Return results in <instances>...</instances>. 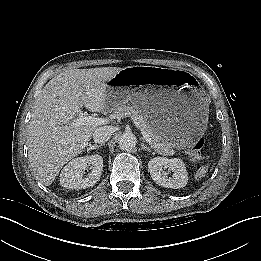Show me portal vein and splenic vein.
<instances>
[{"instance_id":"portal-vein-and-splenic-vein-1","label":"portal vein and splenic vein","mask_w":261,"mask_h":261,"mask_svg":"<svg viewBox=\"0 0 261 261\" xmlns=\"http://www.w3.org/2000/svg\"><path fill=\"white\" fill-rule=\"evenodd\" d=\"M107 122H108L107 119L87 116L85 113L80 111L78 118L75 119L73 122V126L74 127H80L83 125L99 126V125H104ZM135 124L140 129V131L143 135V138L146 140V142L149 145H152V139L150 138V135L144 130V128L140 127L139 124H137V123H135Z\"/></svg>"}]
</instances>
